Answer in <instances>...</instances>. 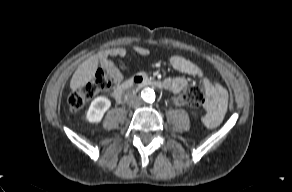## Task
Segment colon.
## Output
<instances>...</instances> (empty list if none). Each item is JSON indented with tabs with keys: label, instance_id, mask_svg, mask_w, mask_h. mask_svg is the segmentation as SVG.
Masks as SVG:
<instances>
[{
	"label": "colon",
	"instance_id": "colon-1",
	"mask_svg": "<svg viewBox=\"0 0 292 192\" xmlns=\"http://www.w3.org/2000/svg\"><path fill=\"white\" fill-rule=\"evenodd\" d=\"M113 82L112 75L105 69L97 70L93 79L78 89L70 92L68 96V107L71 112L80 110L86 102L94 98L99 93L110 88ZM203 90L196 86L184 89L175 99V103L180 105L200 106L205 103Z\"/></svg>",
	"mask_w": 292,
	"mask_h": 192
}]
</instances>
